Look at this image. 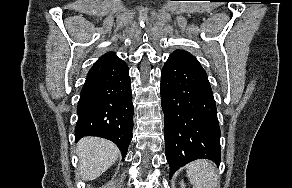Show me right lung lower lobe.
Segmentation results:
<instances>
[{
  "mask_svg": "<svg viewBox=\"0 0 292 188\" xmlns=\"http://www.w3.org/2000/svg\"><path fill=\"white\" fill-rule=\"evenodd\" d=\"M133 104L127 64L114 53L100 57L87 74L77 108L75 138L103 137L126 156L132 139Z\"/></svg>",
  "mask_w": 292,
  "mask_h": 188,
  "instance_id": "right-lung-lower-lobe-1",
  "label": "right lung lower lobe"
}]
</instances>
